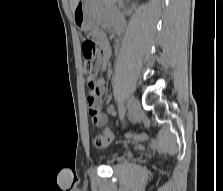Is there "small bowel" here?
<instances>
[{
    "instance_id": "obj_1",
    "label": "small bowel",
    "mask_w": 223,
    "mask_h": 191,
    "mask_svg": "<svg viewBox=\"0 0 223 191\" xmlns=\"http://www.w3.org/2000/svg\"><path fill=\"white\" fill-rule=\"evenodd\" d=\"M124 28V23L120 20L116 21L115 31L121 33ZM93 36L97 39L100 45V52L96 60V70L104 71L107 68L108 59L110 57V47L105 38L104 33L97 29L93 32ZM96 87L91 89L89 87V92L87 96V105L89 115L92 122L97 126L104 125L109 116L115 114L114 109L109 107L106 111L103 110L102 94L105 90V82L103 79L94 80Z\"/></svg>"
}]
</instances>
